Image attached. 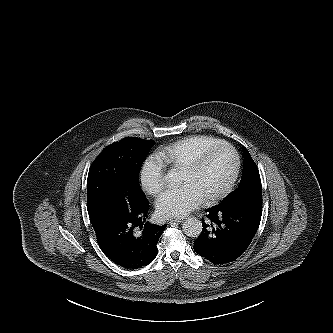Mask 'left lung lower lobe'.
<instances>
[{
    "mask_svg": "<svg viewBox=\"0 0 333 333\" xmlns=\"http://www.w3.org/2000/svg\"><path fill=\"white\" fill-rule=\"evenodd\" d=\"M207 222L194 241V250L213 264H226L239 258L250 245L260 224L262 194L249 195L226 205L206 210Z\"/></svg>",
    "mask_w": 333,
    "mask_h": 333,
    "instance_id": "1",
    "label": "left lung lower lobe"
}]
</instances>
